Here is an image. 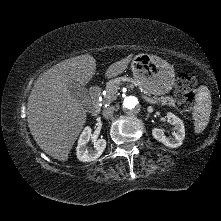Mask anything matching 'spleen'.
<instances>
[{
	"label": "spleen",
	"instance_id": "3e777b00",
	"mask_svg": "<svg viewBox=\"0 0 221 221\" xmlns=\"http://www.w3.org/2000/svg\"><path fill=\"white\" fill-rule=\"evenodd\" d=\"M195 101L192 112L194 130L196 133H201L207 126L211 114V96L206 86L202 85L198 88Z\"/></svg>",
	"mask_w": 221,
	"mask_h": 221
}]
</instances>
